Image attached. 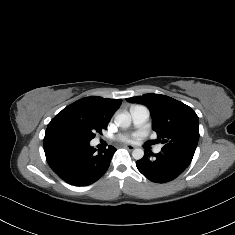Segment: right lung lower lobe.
<instances>
[{
    "instance_id": "right-lung-lower-lobe-1",
    "label": "right lung lower lobe",
    "mask_w": 235,
    "mask_h": 235,
    "mask_svg": "<svg viewBox=\"0 0 235 235\" xmlns=\"http://www.w3.org/2000/svg\"><path fill=\"white\" fill-rule=\"evenodd\" d=\"M44 151L49 166L62 180L87 186L107 171L116 148L109 146L97 153L89 142L57 130L45 133Z\"/></svg>"
}]
</instances>
